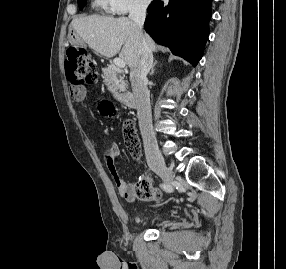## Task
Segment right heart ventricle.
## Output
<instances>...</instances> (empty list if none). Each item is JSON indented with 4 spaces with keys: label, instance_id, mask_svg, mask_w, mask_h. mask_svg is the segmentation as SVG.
<instances>
[{
    "label": "right heart ventricle",
    "instance_id": "obj_1",
    "mask_svg": "<svg viewBox=\"0 0 286 269\" xmlns=\"http://www.w3.org/2000/svg\"><path fill=\"white\" fill-rule=\"evenodd\" d=\"M92 4L98 10L102 11L110 10L109 0H93Z\"/></svg>",
    "mask_w": 286,
    "mask_h": 269
}]
</instances>
